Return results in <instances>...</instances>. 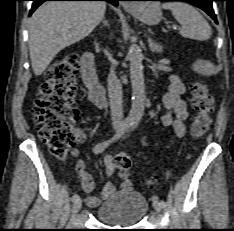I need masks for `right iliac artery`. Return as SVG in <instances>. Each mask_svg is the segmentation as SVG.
<instances>
[{
  "label": "right iliac artery",
  "instance_id": "82829eb1",
  "mask_svg": "<svg viewBox=\"0 0 234 231\" xmlns=\"http://www.w3.org/2000/svg\"><path fill=\"white\" fill-rule=\"evenodd\" d=\"M133 125V121L132 120H125L120 129L117 131V133L108 141H104L101 143H98L97 145H95V147L93 148V152L95 154H99L102 153L108 146L109 144H111L114 141H117L119 138H121L125 132L129 129V127H131ZM79 199V195L78 194H74L71 197L72 202H75Z\"/></svg>",
  "mask_w": 234,
  "mask_h": 231
}]
</instances>
